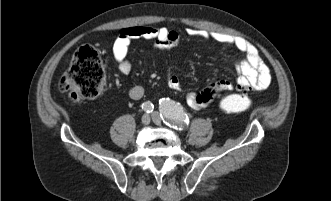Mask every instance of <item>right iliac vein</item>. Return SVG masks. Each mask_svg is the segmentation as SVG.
I'll list each match as a JSON object with an SVG mask.
<instances>
[{
  "label": "right iliac vein",
  "instance_id": "1",
  "mask_svg": "<svg viewBox=\"0 0 331 201\" xmlns=\"http://www.w3.org/2000/svg\"><path fill=\"white\" fill-rule=\"evenodd\" d=\"M141 121H142V124H144V125H148V124L150 123V121H151L150 115H148V114H144V115L142 116Z\"/></svg>",
  "mask_w": 331,
  "mask_h": 201
}]
</instances>
